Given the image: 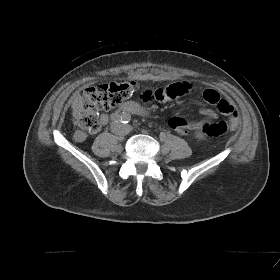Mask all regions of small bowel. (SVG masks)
I'll return each instance as SVG.
<instances>
[{
	"instance_id": "1",
	"label": "small bowel",
	"mask_w": 280,
	"mask_h": 280,
	"mask_svg": "<svg viewBox=\"0 0 280 280\" xmlns=\"http://www.w3.org/2000/svg\"><path fill=\"white\" fill-rule=\"evenodd\" d=\"M191 89L192 85L188 82H175L163 88L144 91L142 99L146 102H167L189 93ZM202 96L207 103L215 105L222 114L230 118V125L232 128L238 126V113L231 102L222 98L220 94L213 89H206ZM201 114L206 119H215L217 117V114L210 108H202ZM108 119L107 114H102L100 116L101 125L106 124ZM169 125L176 132L185 135L190 131L200 130L205 125V122L186 121L181 117H173L170 119ZM86 137L87 134L82 130H78L75 133V139L77 141H83Z\"/></svg>"
}]
</instances>
